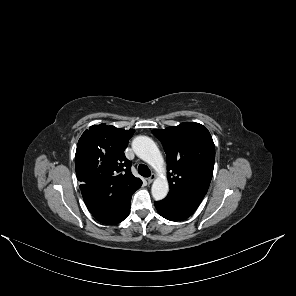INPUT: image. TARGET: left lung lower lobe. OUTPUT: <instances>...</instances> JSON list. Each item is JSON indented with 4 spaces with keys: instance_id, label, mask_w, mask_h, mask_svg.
I'll return each instance as SVG.
<instances>
[{
    "instance_id": "1",
    "label": "left lung lower lobe",
    "mask_w": 296,
    "mask_h": 296,
    "mask_svg": "<svg viewBox=\"0 0 296 296\" xmlns=\"http://www.w3.org/2000/svg\"><path fill=\"white\" fill-rule=\"evenodd\" d=\"M199 205L178 204L166 200L155 202L158 213L170 221H180L191 216Z\"/></svg>"
}]
</instances>
